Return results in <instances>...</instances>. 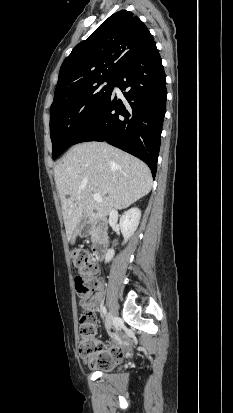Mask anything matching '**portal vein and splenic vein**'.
<instances>
[{
    "label": "portal vein and splenic vein",
    "mask_w": 233,
    "mask_h": 413,
    "mask_svg": "<svg viewBox=\"0 0 233 413\" xmlns=\"http://www.w3.org/2000/svg\"><path fill=\"white\" fill-rule=\"evenodd\" d=\"M92 197L95 201L102 202V197L100 196V194L95 193L92 195Z\"/></svg>",
    "instance_id": "18ae733b"
}]
</instances>
